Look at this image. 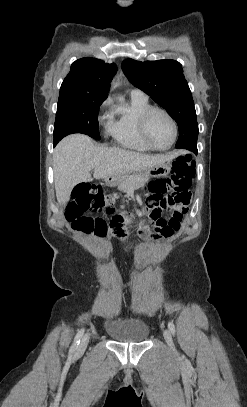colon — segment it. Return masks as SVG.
<instances>
[{"mask_svg":"<svg viewBox=\"0 0 247 407\" xmlns=\"http://www.w3.org/2000/svg\"><path fill=\"white\" fill-rule=\"evenodd\" d=\"M195 173L196 164L192 157L181 156L173 163L168 177L150 182L148 191L153 195L166 197L175 204H188ZM114 203L115 196L105 193L101 186L82 184L74 189L65 217L78 231L107 235L111 231V225L102 219L84 215L94 212L114 213Z\"/></svg>","mask_w":247,"mask_h":407,"instance_id":"colon-1","label":"colon"}]
</instances>
